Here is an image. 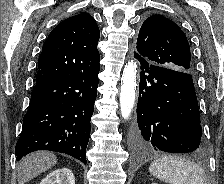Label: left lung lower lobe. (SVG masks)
<instances>
[{
    "mask_svg": "<svg viewBox=\"0 0 224 184\" xmlns=\"http://www.w3.org/2000/svg\"><path fill=\"white\" fill-rule=\"evenodd\" d=\"M134 56L141 65L136 147L141 151L202 152L204 142L192 75Z\"/></svg>",
    "mask_w": 224,
    "mask_h": 184,
    "instance_id": "1",
    "label": "left lung lower lobe"
}]
</instances>
